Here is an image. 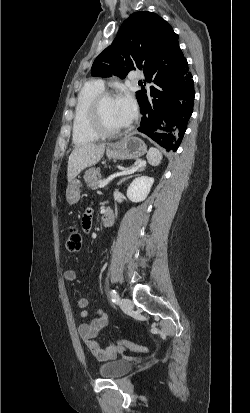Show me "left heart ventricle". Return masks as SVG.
<instances>
[{"instance_id":"1","label":"left heart ventricle","mask_w":250,"mask_h":413,"mask_svg":"<svg viewBox=\"0 0 250 413\" xmlns=\"http://www.w3.org/2000/svg\"><path fill=\"white\" fill-rule=\"evenodd\" d=\"M102 115L105 125L110 129H119L126 125L121 117L115 98H108L103 102Z\"/></svg>"}]
</instances>
